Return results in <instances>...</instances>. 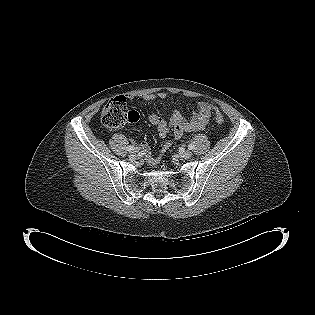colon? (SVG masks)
I'll return each instance as SVG.
<instances>
[{
  "mask_svg": "<svg viewBox=\"0 0 315 315\" xmlns=\"http://www.w3.org/2000/svg\"><path fill=\"white\" fill-rule=\"evenodd\" d=\"M213 116L218 124L224 122L222 114L210 103ZM102 122L104 126L112 129H118L128 123H134L138 120V114L135 111H129L124 97H117L110 100L102 110Z\"/></svg>",
  "mask_w": 315,
  "mask_h": 315,
  "instance_id": "obj_1",
  "label": "colon"
}]
</instances>
